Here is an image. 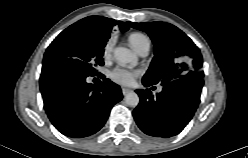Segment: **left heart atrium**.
Listing matches in <instances>:
<instances>
[{
  "label": "left heart atrium",
  "instance_id": "obj_1",
  "mask_svg": "<svg viewBox=\"0 0 248 158\" xmlns=\"http://www.w3.org/2000/svg\"><path fill=\"white\" fill-rule=\"evenodd\" d=\"M139 74L138 70L119 65L109 72V78L116 84L127 86L132 84Z\"/></svg>",
  "mask_w": 248,
  "mask_h": 158
}]
</instances>
